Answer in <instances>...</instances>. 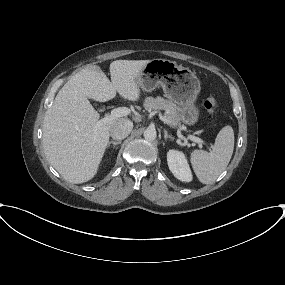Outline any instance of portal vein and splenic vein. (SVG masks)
Returning a JSON list of instances; mask_svg holds the SVG:
<instances>
[{"label": "portal vein and splenic vein", "instance_id": "obj_1", "mask_svg": "<svg viewBox=\"0 0 285 285\" xmlns=\"http://www.w3.org/2000/svg\"><path fill=\"white\" fill-rule=\"evenodd\" d=\"M128 114H130V109L127 107L115 108L111 111L110 115L104 119V121H111V120H114L118 117L126 116ZM164 121L167 122V120H164ZM178 136L180 138L182 137V135L179 132H178ZM188 139L192 140L193 142H195L199 145L205 144V142L202 139L195 137V136H192V135H189Z\"/></svg>", "mask_w": 285, "mask_h": 285}]
</instances>
